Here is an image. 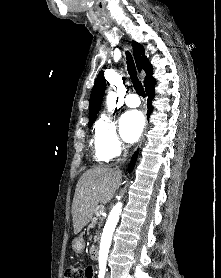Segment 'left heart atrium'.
Returning <instances> with one entry per match:
<instances>
[{
	"mask_svg": "<svg viewBox=\"0 0 221 278\" xmlns=\"http://www.w3.org/2000/svg\"><path fill=\"white\" fill-rule=\"evenodd\" d=\"M144 117L140 111H127L120 119L121 132L124 140L133 143L138 140L144 129Z\"/></svg>",
	"mask_w": 221,
	"mask_h": 278,
	"instance_id": "39dd6f15",
	"label": "left heart atrium"
}]
</instances>
